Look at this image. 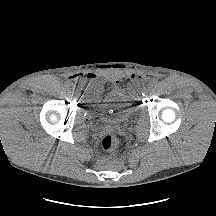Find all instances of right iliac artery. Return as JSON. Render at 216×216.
<instances>
[{"instance_id": "1", "label": "right iliac artery", "mask_w": 216, "mask_h": 216, "mask_svg": "<svg viewBox=\"0 0 216 216\" xmlns=\"http://www.w3.org/2000/svg\"><path fill=\"white\" fill-rule=\"evenodd\" d=\"M72 89H73V88H72L71 86H68V87H67V90H68V91H71Z\"/></svg>"}]
</instances>
